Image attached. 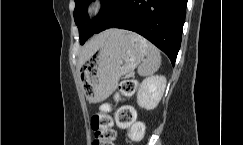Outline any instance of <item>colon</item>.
<instances>
[{
	"instance_id": "1",
	"label": "colon",
	"mask_w": 243,
	"mask_h": 145,
	"mask_svg": "<svg viewBox=\"0 0 243 145\" xmlns=\"http://www.w3.org/2000/svg\"><path fill=\"white\" fill-rule=\"evenodd\" d=\"M137 82L134 79H123L119 84V92L122 95L130 96L134 94ZM111 108L108 104L101 107L100 111L91 117V128L95 132V139L92 145H113L116 137L113 129L114 123L123 129L129 130L132 140H140L145 133V126L136 120V112L131 106H122L116 113L114 119L109 114Z\"/></svg>"
}]
</instances>
